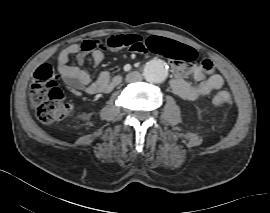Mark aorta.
<instances>
[{
  "label": "aorta",
  "instance_id": "762f6f07",
  "mask_svg": "<svg viewBox=\"0 0 270 213\" xmlns=\"http://www.w3.org/2000/svg\"><path fill=\"white\" fill-rule=\"evenodd\" d=\"M168 74L166 64L162 61L153 60L148 62L144 68V76L148 82L161 83Z\"/></svg>",
  "mask_w": 270,
  "mask_h": 213
}]
</instances>
